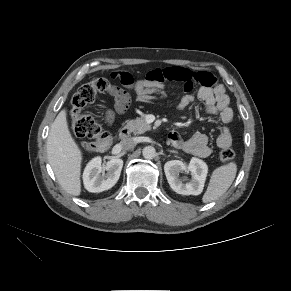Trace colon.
I'll return each instance as SVG.
<instances>
[{
    "mask_svg": "<svg viewBox=\"0 0 291 291\" xmlns=\"http://www.w3.org/2000/svg\"><path fill=\"white\" fill-rule=\"evenodd\" d=\"M111 89V82L107 78L99 76L82 85L72 98L69 112L72 128L78 137L89 139V141L82 143L86 151H102L111 143L109 132L85 112V108L95 100L97 94L109 92ZM234 157L233 149L228 146L221 148L219 151V158L223 162H229Z\"/></svg>",
    "mask_w": 291,
    "mask_h": 291,
    "instance_id": "colon-1",
    "label": "colon"
}]
</instances>
